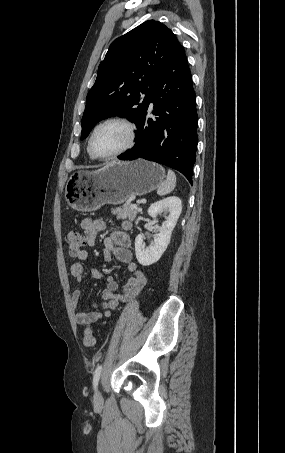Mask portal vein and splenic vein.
<instances>
[{
  "label": "portal vein and splenic vein",
  "mask_w": 285,
  "mask_h": 453,
  "mask_svg": "<svg viewBox=\"0 0 285 453\" xmlns=\"http://www.w3.org/2000/svg\"><path fill=\"white\" fill-rule=\"evenodd\" d=\"M132 208H134V209L137 208V204H133Z\"/></svg>",
  "instance_id": "portal-vein-and-splenic-vein-1"
}]
</instances>
